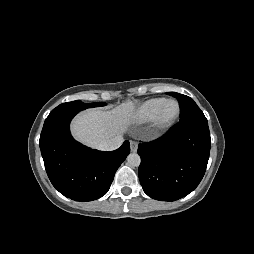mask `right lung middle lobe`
<instances>
[{"mask_svg": "<svg viewBox=\"0 0 254 254\" xmlns=\"http://www.w3.org/2000/svg\"><path fill=\"white\" fill-rule=\"evenodd\" d=\"M61 105H70V106H79L81 108H92V107H98V106H104L105 103L103 102H97V103H89V104H86V103H83L82 101L80 100H76V101H72V102H67V103H63Z\"/></svg>", "mask_w": 254, "mask_h": 254, "instance_id": "dd1d6c3e", "label": "right lung middle lobe"}]
</instances>
